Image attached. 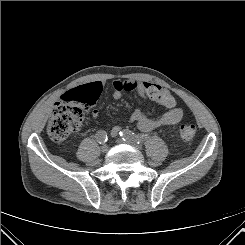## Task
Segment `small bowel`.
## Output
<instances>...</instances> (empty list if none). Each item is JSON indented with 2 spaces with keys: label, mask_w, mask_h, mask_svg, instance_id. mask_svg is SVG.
I'll return each mask as SVG.
<instances>
[{
  "label": "small bowel",
  "mask_w": 245,
  "mask_h": 245,
  "mask_svg": "<svg viewBox=\"0 0 245 245\" xmlns=\"http://www.w3.org/2000/svg\"><path fill=\"white\" fill-rule=\"evenodd\" d=\"M101 85L100 82H96ZM113 97L119 99L124 92H137L141 97L152 100L161 105L164 110L160 116L154 118L152 115L156 112V108H149L145 111L135 109L129 117V121L135 123L137 127L143 132H150L162 126L175 125L179 123L184 111L182 108L176 106V96L174 93L167 91L165 88L149 83V82H135L115 80L112 83ZM92 117H98V110L92 112ZM119 127L112 130V135H117Z\"/></svg>",
  "instance_id": "small-bowel-1"
}]
</instances>
